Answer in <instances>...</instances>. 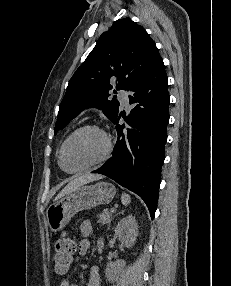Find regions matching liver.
Returning a JSON list of instances; mask_svg holds the SVG:
<instances>
[{"label": "liver", "instance_id": "6515ba94", "mask_svg": "<svg viewBox=\"0 0 231 286\" xmlns=\"http://www.w3.org/2000/svg\"><path fill=\"white\" fill-rule=\"evenodd\" d=\"M101 178H102L101 175H93V174H85V175L78 176L74 180L69 182L66 185V187H64V189H62V191L56 196L54 201L62 199L63 197H65L66 195H68L69 193H71L72 191L76 190L77 188H79L80 186L86 183L99 180Z\"/></svg>", "mask_w": 231, "mask_h": 286}]
</instances>
